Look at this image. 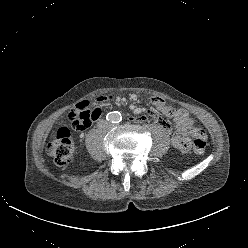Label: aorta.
Masks as SVG:
<instances>
[{
  "label": "aorta",
  "instance_id": "762f6f07",
  "mask_svg": "<svg viewBox=\"0 0 248 248\" xmlns=\"http://www.w3.org/2000/svg\"><path fill=\"white\" fill-rule=\"evenodd\" d=\"M121 118V114L119 112H112L111 114V120L114 122L119 121Z\"/></svg>",
  "mask_w": 248,
  "mask_h": 248
}]
</instances>
